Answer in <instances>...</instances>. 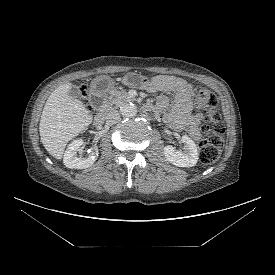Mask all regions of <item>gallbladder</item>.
<instances>
[{
	"label": "gallbladder",
	"mask_w": 275,
	"mask_h": 275,
	"mask_svg": "<svg viewBox=\"0 0 275 275\" xmlns=\"http://www.w3.org/2000/svg\"><path fill=\"white\" fill-rule=\"evenodd\" d=\"M69 95L72 98H77L80 96V89L78 86L73 85L69 90Z\"/></svg>",
	"instance_id": "obj_1"
}]
</instances>
